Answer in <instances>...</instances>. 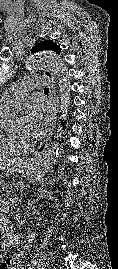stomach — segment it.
Instances as JSON below:
<instances>
[{
	"instance_id": "0dacf381",
	"label": "stomach",
	"mask_w": 118,
	"mask_h": 269,
	"mask_svg": "<svg viewBox=\"0 0 118 269\" xmlns=\"http://www.w3.org/2000/svg\"><path fill=\"white\" fill-rule=\"evenodd\" d=\"M28 165L20 164L12 168L13 172L23 173L27 169Z\"/></svg>"
}]
</instances>
